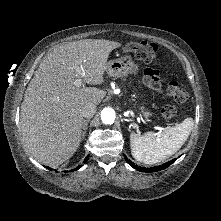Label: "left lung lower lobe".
Here are the masks:
<instances>
[{
  "instance_id": "obj_1",
  "label": "left lung lower lobe",
  "mask_w": 221,
  "mask_h": 221,
  "mask_svg": "<svg viewBox=\"0 0 221 221\" xmlns=\"http://www.w3.org/2000/svg\"><path fill=\"white\" fill-rule=\"evenodd\" d=\"M125 158H126V157H125ZM175 160H176V159H173V160H171V161H169V162H167V163H164V164H162V165H160V166H157V167L144 168V167H139V166L135 165L132 161H130V160H128V159L126 158V162H127L130 166H132L133 168H135L136 170L141 171V172H157V171L163 170V169L167 168L168 166H170L172 163H174Z\"/></svg>"
}]
</instances>
